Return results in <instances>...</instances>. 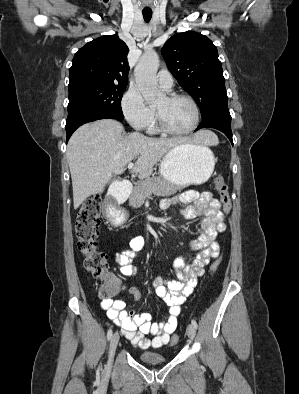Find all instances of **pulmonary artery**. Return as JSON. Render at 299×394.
I'll list each match as a JSON object with an SVG mask.
<instances>
[{
  "instance_id": "1",
  "label": "pulmonary artery",
  "mask_w": 299,
  "mask_h": 394,
  "mask_svg": "<svg viewBox=\"0 0 299 394\" xmlns=\"http://www.w3.org/2000/svg\"><path fill=\"white\" fill-rule=\"evenodd\" d=\"M159 86L165 90L170 91L173 87V78L169 71L161 70L157 75Z\"/></svg>"
}]
</instances>
